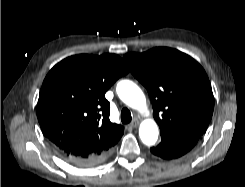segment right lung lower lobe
<instances>
[{
  "mask_svg": "<svg viewBox=\"0 0 245 187\" xmlns=\"http://www.w3.org/2000/svg\"><path fill=\"white\" fill-rule=\"evenodd\" d=\"M111 150L105 151L102 154L98 155V156H94L91 157L89 159H76V158H65L68 162H70L73 165L79 166V167H91V166H95L100 164L101 162H103L104 160H106L110 153Z\"/></svg>",
  "mask_w": 245,
  "mask_h": 187,
  "instance_id": "right-lung-lower-lobe-1",
  "label": "right lung lower lobe"
}]
</instances>
